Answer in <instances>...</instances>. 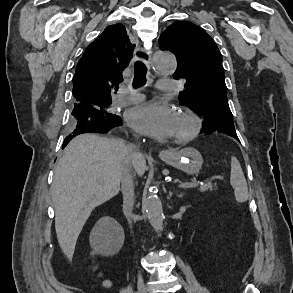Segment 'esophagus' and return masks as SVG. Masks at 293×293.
Returning a JSON list of instances; mask_svg holds the SVG:
<instances>
[{"mask_svg":"<svg viewBox=\"0 0 293 293\" xmlns=\"http://www.w3.org/2000/svg\"><path fill=\"white\" fill-rule=\"evenodd\" d=\"M135 59L144 62L148 67H150L151 51L142 48H137L135 51ZM160 156H168L170 152L168 150H162L159 153Z\"/></svg>","mask_w":293,"mask_h":293,"instance_id":"esophagus-1","label":"esophagus"}]
</instances>
